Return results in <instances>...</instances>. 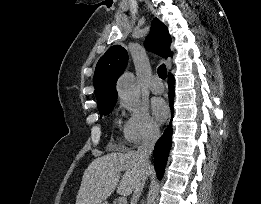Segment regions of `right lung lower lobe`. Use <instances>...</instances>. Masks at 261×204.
Returning <instances> with one entry per match:
<instances>
[{"label": "right lung lower lobe", "mask_w": 261, "mask_h": 204, "mask_svg": "<svg viewBox=\"0 0 261 204\" xmlns=\"http://www.w3.org/2000/svg\"><path fill=\"white\" fill-rule=\"evenodd\" d=\"M174 77L171 73L168 75V86H169V104L171 112L173 113V104H174ZM171 136H172V122H170L169 126L165 129L164 134L157 141L154 148V167L156 169V173L158 179H161L164 174V169L167 163L169 151L171 148Z\"/></svg>", "instance_id": "98d812e1"}]
</instances>
